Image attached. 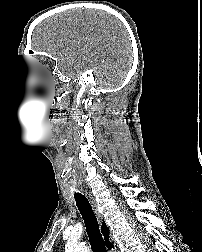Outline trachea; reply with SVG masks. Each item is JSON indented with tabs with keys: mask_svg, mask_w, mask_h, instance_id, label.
<instances>
[{
	"mask_svg": "<svg viewBox=\"0 0 202 252\" xmlns=\"http://www.w3.org/2000/svg\"><path fill=\"white\" fill-rule=\"evenodd\" d=\"M74 198L86 225L87 234L93 252H106L104 241L99 230L98 221L89 201L81 193H75Z\"/></svg>",
	"mask_w": 202,
	"mask_h": 252,
	"instance_id": "1",
	"label": "trachea"
}]
</instances>
